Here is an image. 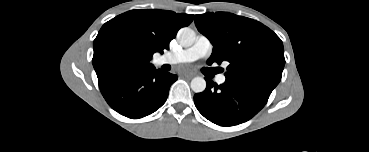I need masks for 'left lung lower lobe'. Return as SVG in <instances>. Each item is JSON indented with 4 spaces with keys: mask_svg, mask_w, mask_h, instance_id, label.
Listing matches in <instances>:
<instances>
[{
    "mask_svg": "<svg viewBox=\"0 0 369 152\" xmlns=\"http://www.w3.org/2000/svg\"><path fill=\"white\" fill-rule=\"evenodd\" d=\"M207 87L194 96L198 111L220 126H233L248 121L267 103L273 89L241 81L217 85L205 78Z\"/></svg>",
    "mask_w": 369,
    "mask_h": 152,
    "instance_id": "left-lung-lower-lobe-1",
    "label": "left lung lower lobe"
}]
</instances>
